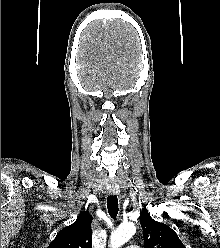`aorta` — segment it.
Returning <instances> with one entry per match:
<instances>
[{
	"mask_svg": "<svg viewBox=\"0 0 220 248\" xmlns=\"http://www.w3.org/2000/svg\"><path fill=\"white\" fill-rule=\"evenodd\" d=\"M136 233V226L131 222L122 223L110 237V247L120 248Z\"/></svg>",
	"mask_w": 220,
	"mask_h": 248,
	"instance_id": "aorta-1",
	"label": "aorta"
}]
</instances>
